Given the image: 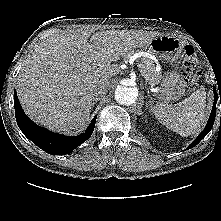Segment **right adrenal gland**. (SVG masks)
<instances>
[{"label":"right adrenal gland","mask_w":221,"mask_h":221,"mask_svg":"<svg viewBox=\"0 0 221 221\" xmlns=\"http://www.w3.org/2000/svg\"><path fill=\"white\" fill-rule=\"evenodd\" d=\"M94 105H95V102H94V103H92V107H94Z\"/></svg>","instance_id":"right-adrenal-gland-1"}]
</instances>
